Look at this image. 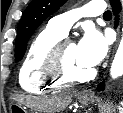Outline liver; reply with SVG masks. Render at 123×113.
<instances>
[{"mask_svg": "<svg viewBox=\"0 0 123 113\" xmlns=\"http://www.w3.org/2000/svg\"><path fill=\"white\" fill-rule=\"evenodd\" d=\"M14 99L19 103L26 105L42 113H55L64 110L71 102V95L53 96V97H28L16 96Z\"/></svg>", "mask_w": 123, "mask_h": 113, "instance_id": "6515ba94", "label": "liver"}]
</instances>
